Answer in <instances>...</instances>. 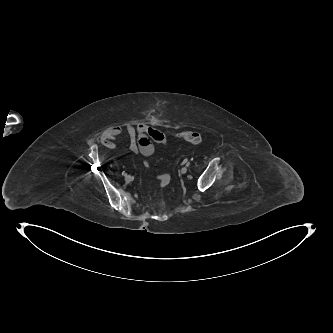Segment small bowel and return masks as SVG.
Masks as SVG:
<instances>
[{
    "label": "small bowel",
    "mask_w": 333,
    "mask_h": 333,
    "mask_svg": "<svg viewBox=\"0 0 333 333\" xmlns=\"http://www.w3.org/2000/svg\"><path fill=\"white\" fill-rule=\"evenodd\" d=\"M123 133H126L130 139L131 152L144 157H151L154 154V143L168 144L164 133L144 123L109 127L101 134L99 141L104 147L115 149V139Z\"/></svg>",
    "instance_id": "small-bowel-1"
}]
</instances>
